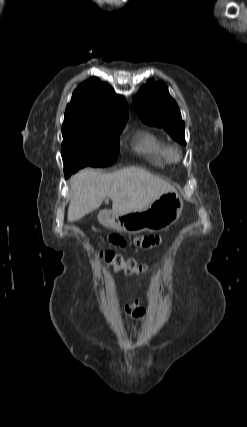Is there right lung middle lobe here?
Returning a JSON list of instances; mask_svg holds the SVG:
<instances>
[{
	"label": "right lung middle lobe",
	"mask_w": 247,
	"mask_h": 427,
	"mask_svg": "<svg viewBox=\"0 0 247 427\" xmlns=\"http://www.w3.org/2000/svg\"><path fill=\"white\" fill-rule=\"evenodd\" d=\"M124 125L105 127L76 118H65L62 125L61 155L64 173L69 177L84 166L113 164L119 152V135Z\"/></svg>",
	"instance_id": "dd1d6c3e"
}]
</instances>
